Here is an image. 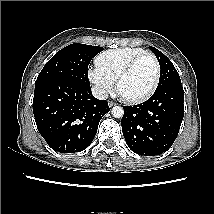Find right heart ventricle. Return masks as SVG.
I'll return each mask as SVG.
<instances>
[{"instance_id":"e07e8e85","label":"right heart ventricle","mask_w":214,"mask_h":214,"mask_svg":"<svg viewBox=\"0 0 214 214\" xmlns=\"http://www.w3.org/2000/svg\"><path fill=\"white\" fill-rule=\"evenodd\" d=\"M146 53L142 48L123 47L100 53L95 58L96 67L111 77L114 81L121 70L135 57Z\"/></svg>"}]
</instances>
